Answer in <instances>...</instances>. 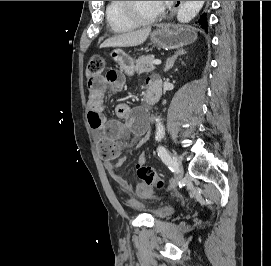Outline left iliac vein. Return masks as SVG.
<instances>
[{
	"label": "left iliac vein",
	"instance_id": "1",
	"mask_svg": "<svg viewBox=\"0 0 271 266\" xmlns=\"http://www.w3.org/2000/svg\"><path fill=\"white\" fill-rule=\"evenodd\" d=\"M176 164V172H177V177L172 181L171 185H170V188H173L177 185V183L182 179V176H183V168H182V165H181V158L178 156V155H175L173 158H172Z\"/></svg>",
	"mask_w": 271,
	"mask_h": 266
}]
</instances>
